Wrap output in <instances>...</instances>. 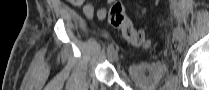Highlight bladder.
Here are the masks:
<instances>
[{"mask_svg": "<svg viewBox=\"0 0 209 90\" xmlns=\"http://www.w3.org/2000/svg\"><path fill=\"white\" fill-rule=\"evenodd\" d=\"M128 75L137 85L152 88L166 78L168 65L157 61L133 63L128 67Z\"/></svg>", "mask_w": 209, "mask_h": 90, "instance_id": "bladder-1", "label": "bladder"}]
</instances>
